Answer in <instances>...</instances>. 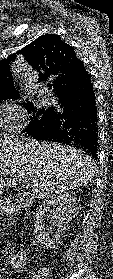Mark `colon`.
Segmentation results:
<instances>
[{
	"label": "colon",
	"mask_w": 113,
	"mask_h": 279,
	"mask_svg": "<svg viewBox=\"0 0 113 279\" xmlns=\"http://www.w3.org/2000/svg\"><path fill=\"white\" fill-rule=\"evenodd\" d=\"M15 256H18L14 251L8 249H1L0 247V266L11 262Z\"/></svg>",
	"instance_id": "5ec220e1"
}]
</instances>
